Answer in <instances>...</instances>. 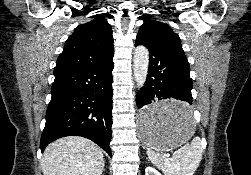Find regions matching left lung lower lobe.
<instances>
[{"label":"left lung lower lobe","mask_w":251,"mask_h":175,"mask_svg":"<svg viewBox=\"0 0 251 175\" xmlns=\"http://www.w3.org/2000/svg\"><path fill=\"white\" fill-rule=\"evenodd\" d=\"M136 46L144 45L149 50V70L146 82L137 94V107L141 109L138 120L142 125L154 126L184 122L194 114L187 58L174 51L157 46L137 36ZM174 98L184 101L176 105H155L158 100Z\"/></svg>","instance_id":"1"}]
</instances>
